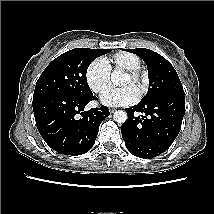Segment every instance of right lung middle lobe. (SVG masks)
<instances>
[{
    "label": "right lung middle lobe",
    "mask_w": 214,
    "mask_h": 214,
    "mask_svg": "<svg viewBox=\"0 0 214 214\" xmlns=\"http://www.w3.org/2000/svg\"><path fill=\"white\" fill-rule=\"evenodd\" d=\"M112 49L75 48L54 59L40 75L33 99L61 94L87 97L92 95L86 72L91 62Z\"/></svg>",
    "instance_id": "dd1d6c3e"
}]
</instances>
